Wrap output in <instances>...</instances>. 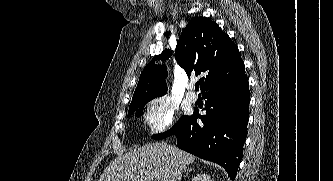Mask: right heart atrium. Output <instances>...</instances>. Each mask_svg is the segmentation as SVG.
<instances>
[{
	"label": "right heart atrium",
	"mask_w": 333,
	"mask_h": 181,
	"mask_svg": "<svg viewBox=\"0 0 333 181\" xmlns=\"http://www.w3.org/2000/svg\"><path fill=\"white\" fill-rule=\"evenodd\" d=\"M176 113L177 108L172 101L160 96L149 102L145 121L152 133H162L173 125Z\"/></svg>",
	"instance_id": "d8ad5b80"
}]
</instances>
